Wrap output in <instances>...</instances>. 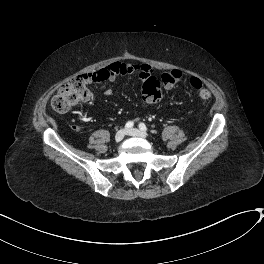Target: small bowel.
<instances>
[{"label":"small bowel","mask_w":264,"mask_h":264,"mask_svg":"<svg viewBox=\"0 0 264 264\" xmlns=\"http://www.w3.org/2000/svg\"><path fill=\"white\" fill-rule=\"evenodd\" d=\"M122 69L125 70V73H122ZM121 75H136L140 82H144L148 78L154 77V71L151 66L147 64H137V63H112L108 66L103 67L100 70L89 72L83 74V79L87 83H94V82H114L117 78ZM172 87H166V89H171ZM107 94L112 96L113 93L109 89L107 90ZM155 100L146 99L143 95L141 97V102L143 106H147L154 102Z\"/></svg>","instance_id":"c3829d8e"}]
</instances>
